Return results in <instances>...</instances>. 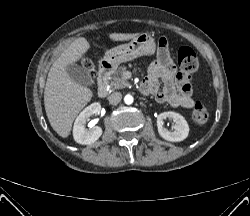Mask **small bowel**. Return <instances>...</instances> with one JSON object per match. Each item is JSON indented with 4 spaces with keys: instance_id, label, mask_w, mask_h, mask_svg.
Listing matches in <instances>:
<instances>
[{
    "instance_id": "small-bowel-1",
    "label": "small bowel",
    "mask_w": 250,
    "mask_h": 216,
    "mask_svg": "<svg viewBox=\"0 0 250 216\" xmlns=\"http://www.w3.org/2000/svg\"><path fill=\"white\" fill-rule=\"evenodd\" d=\"M160 83L163 84L162 88ZM141 89L144 93L153 95L159 103H167L172 107L190 109L195 105L190 77L181 72L176 73L164 49L151 63Z\"/></svg>"
}]
</instances>
